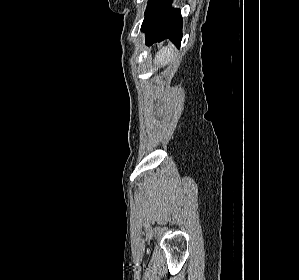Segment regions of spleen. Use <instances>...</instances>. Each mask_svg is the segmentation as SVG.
<instances>
[{
	"instance_id": "obj_1",
	"label": "spleen",
	"mask_w": 299,
	"mask_h": 280,
	"mask_svg": "<svg viewBox=\"0 0 299 280\" xmlns=\"http://www.w3.org/2000/svg\"><path fill=\"white\" fill-rule=\"evenodd\" d=\"M174 47H163L156 55L155 63L160 65L168 64L172 59H174Z\"/></svg>"
}]
</instances>
